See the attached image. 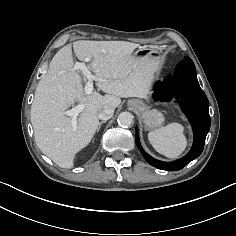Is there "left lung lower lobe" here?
Wrapping results in <instances>:
<instances>
[{"label":"left lung lower lobe","mask_w":236,"mask_h":236,"mask_svg":"<svg viewBox=\"0 0 236 236\" xmlns=\"http://www.w3.org/2000/svg\"><path fill=\"white\" fill-rule=\"evenodd\" d=\"M154 88V97L159 100L169 101L174 96L177 99L181 98V108L193 127L194 143L186 156L170 163L156 160L143 150L137 128L136 145L150 165L162 170H180L203 151L206 135L210 129L208 99L199 86L195 65L189 57H185L177 65L173 77H166L163 82L157 81Z\"/></svg>","instance_id":"0a47b994"}]
</instances>
